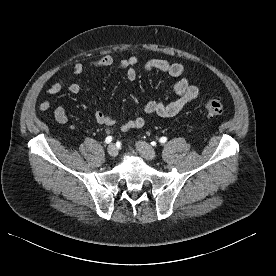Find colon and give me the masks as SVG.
Segmentation results:
<instances>
[{"label":"colon","mask_w":276,"mask_h":276,"mask_svg":"<svg viewBox=\"0 0 276 276\" xmlns=\"http://www.w3.org/2000/svg\"><path fill=\"white\" fill-rule=\"evenodd\" d=\"M205 111L211 117H220L224 113V105L220 98L211 97L205 102Z\"/></svg>","instance_id":"colon-1"}]
</instances>
